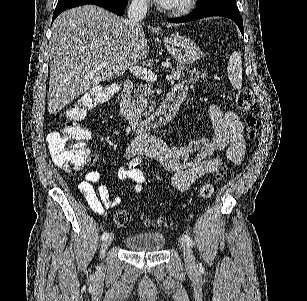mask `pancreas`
<instances>
[{
    "label": "pancreas",
    "instance_id": "cf45deb5",
    "mask_svg": "<svg viewBox=\"0 0 307 301\" xmlns=\"http://www.w3.org/2000/svg\"><path fill=\"white\" fill-rule=\"evenodd\" d=\"M169 66L172 68L171 64H169ZM174 72L180 74L179 78H175V80L187 78V80L192 82V80H199L200 78L199 70H190V68H187V66H181V64L173 66L171 74H174ZM152 88L153 84H151V82H141V84H137L134 90L133 104L136 106V112H141L144 116L154 112L156 106V102L153 100L154 94Z\"/></svg>",
    "mask_w": 307,
    "mask_h": 301
}]
</instances>
